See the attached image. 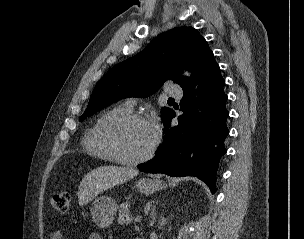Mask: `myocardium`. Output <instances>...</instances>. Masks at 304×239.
<instances>
[{
  "mask_svg": "<svg viewBox=\"0 0 304 239\" xmlns=\"http://www.w3.org/2000/svg\"><path fill=\"white\" fill-rule=\"evenodd\" d=\"M132 122H148V118L137 112H128L124 113L122 115L117 116L113 120H111L104 128L102 137L103 141L108 148L109 152L113 156V160L117 163L123 164V165H138L141 163H144L148 161L149 159L152 158L154 155L158 143H159V138L158 136H154V140L150 146V148L147 150L146 153L139 157L135 158H127L121 155L116 138H117V133L118 131L125 125L132 123Z\"/></svg>",
  "mask_w": 304,
  "mask_h": 239,
  "instance_id": "obj_1",
  "label": "myocardium"
}]
</instances>
